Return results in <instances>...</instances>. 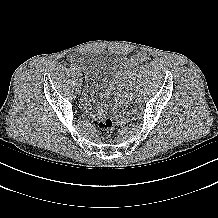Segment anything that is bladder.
I'll return each instance as SVG.
<instances>
[{
  "label": "bladder",
  "instance_id": "31cf9c89",
  "mask_svg": "<svg viewBox=\"0 0 218 218\" xmlns=\"http://www.w3.org/2000/svg\"><path fill=\"white\" fill-rule=\"evenodd\" d=\"M77 62L84 73L82 98L85 104L94 112H109L116 100L117 86L124 80L130 66L114 55L82 54Z\"/></svg>",
  "mask_w": 218,
  "mask_h": 218
}]
</instances>
